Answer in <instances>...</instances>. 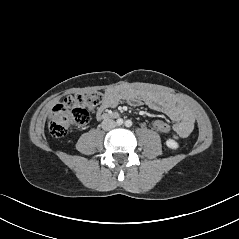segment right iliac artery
Masks as SVG:
<instances>
[{
  "instance_id": "82829eb1",
  "label": "right iliac artery",
  "mask_w": 239,
  "mask_h": 239,
  "mask_svg": "<svg viewBox=\"0 0 239 239\" xmlns=\"http://www.w3.org/2000/svg\"><path fill=\"white\" fill-rule=\"evenodd\" d=\"M123 122H124L123 119H121V118L117 119V124H118V125H122Z\"/></svg>"
}]
</instances>
